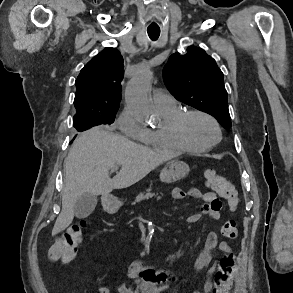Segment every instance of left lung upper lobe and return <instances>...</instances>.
Here are the masks:
<instances>
[{"label":"left lung upper lobe","instance_id":"5c2ea615","mask_svg":"<svg viewBox=\"0 0 293 293\" xmlns=\"http://www.w3.org/2000/svg\"><path fill=\"white\" fill-rule=\"evenodd\" d=\"M163 78L181 102L212 115L223 127H231L223 73L204 50L190 46L184 55H171Z\"/></svg>","mask_w":293,"mask_h":293}]
</instances>
